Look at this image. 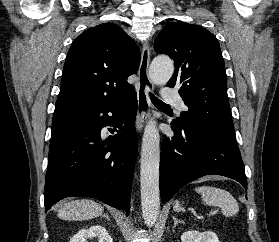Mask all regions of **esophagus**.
<instances>
[{"mask_svg":"<svg viewBox=\"0 0 279 242\" xmlns=\"http://www.w3.org/2000/svg\"><path fill=\"white\" fill-rule=\"evenodd\" d=\"M149 63H150V47L146 43L143 46L141 53V61L138 71V84H137V98L138 110L136 116V129L141 132L147 120L150 99L149 92L153 91L154 84L149 77Z\"/></svg>","mask_w":279,"mask_h":242,"instance_id":"obj_1","label":"esophagus"}]
</instances>
